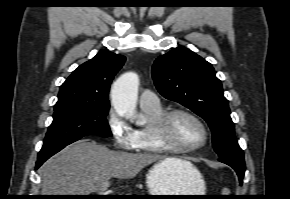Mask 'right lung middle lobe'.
<instances>
[{
  "label": "right lung middle lobe",
  "instance_id": "obj_1",
  "mask_svg": "<svg viewBox=\"0 0 290 199\" xmlns=\"http://www.w3.org/2000/svg\"><path fill=\"white\" fill-rule=\"evenodd\" d=\"M109 104H73L55 108L41 151L65 147L87 135L110 137Z\"/></svg>",
  "mask_w": 290,
  "mask_h": 199
}]
</instances>
